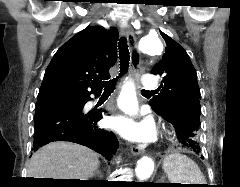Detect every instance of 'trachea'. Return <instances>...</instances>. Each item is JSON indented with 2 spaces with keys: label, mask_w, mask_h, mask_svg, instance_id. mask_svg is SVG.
Segmentation results:
<instances>
[{
  "label": "trachea",
  "mask_w": 240,
  "mask_h": 187,
  "mask_svg": "<svg viewBox=\"0 0 240 187\" xmlns=\"http://www.w3.org/2000/svg\"><path fill=\"white\" fill-rule=\"evenodd\" d=\"M119 58H120V74L116 79L107 81L103 84L105 87L104 93H111L114 91L115 83L119 77H121L127 70L130 60L129 50L127 41L122 37L119 41ZM146 93H151L152 91L142 90Z\"/></svg>",
  "instance_id": "3493384b"
}]
</instances>
